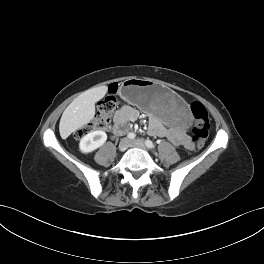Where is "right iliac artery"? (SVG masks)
Wrapping results in <instances>:
<instances>
[{"instance_id":"obj_1","label":"right iliac artery","mask_w":264,"mask_h":264,"mask_svg":"<svg viewBox=\"0 0 264 264\" xmlns=\"http://www.w3.org/2000/svg\"><path fill=\"white\" fill-rule=\"evenodd\" d=\"M127 137H128L129 139L133 140V139L135 138V134H134V133H129V134L127 135Z\"/></svg>"}]
</instances>
